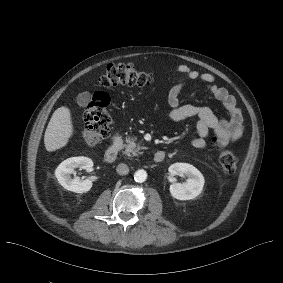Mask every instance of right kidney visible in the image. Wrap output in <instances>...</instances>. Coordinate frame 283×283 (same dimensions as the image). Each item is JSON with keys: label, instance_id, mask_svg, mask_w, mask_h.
Wrapping results in <instances>:
<instances>
[{"label": "right kidney", "instance_id": "right-kidney-1", "mask_svg": "<svg viewBox=\"0 0 283 283\" xmlns=\"http://www.w3.org/2000/svg\"><path fill=\"white\" fill-rule=\"evenodd\" d=\"M77 167L89 171L93 167V161L83 156L68 158L56 168L55 176L64 189L75 193H84L91 189L92 182L79 177L71 178V174Z\"/></svg>", "mask_w": 283, "mask_h": 283}]
</instances>
